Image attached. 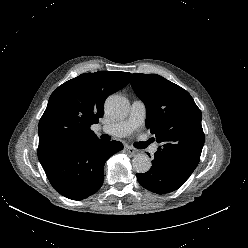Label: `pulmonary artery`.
Instances as JSON below:
<instances>
[{
	"label": "pulmonary artery",
	"instance_id": "obj_1",
	"mask_svg": "<svg viewBox=\"0 0 248 248\" xmlns=\"http://www.w3.org/2000/svg\"><path fill=\"white\" fill-rule=\"evenodd\" d=\"M145 117V104L141 100H134L126 119L105 124L99 130L114 137H125L143 124Z\"/></svg>",
	"mask_w": 248,
	"mask_h": 248
}]
</instances>
